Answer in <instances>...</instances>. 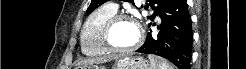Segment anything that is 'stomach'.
<instances>
[{
  "label": "stomach",
  "mask_w": 246,
  "mask_h": 69,
  "mask_svg": "<svg viewBox=\"0 0 246 69\" xmlns=\"http://www.w3.org/2000/svg\"><path fill=\"white\" fill-rule=\"evenodd\" d=\"M75 69H101L97 65H80ZM112 69H151L143 57H124L115 62Z\"/></svg>",
  "instance_id": "stomach-1"
}]
</instances>
